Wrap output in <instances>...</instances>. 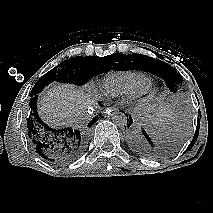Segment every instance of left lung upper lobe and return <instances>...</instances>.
I'll use <instances>...</instances> for the list:
<instances>
[{
	"label": "left lung upper lobe",
	"mask_w": 213,
	"mask_h": 213,
	"mask_svg": "<svg viewBox=\"0 0 213 213\" xmlns=\"http://www.w3.org/2000/svg\"><path fill=\"white\" fill-rule=\"evenodd\" d=\"M128 64L130 69L144 70L162 78L171 90H175L176 86L183 81L180 74L172 66L146 55L131 54Z\"/></svg>",
	"instance_id": "left-lung-upper-lobe-1"
}]
</instances>
